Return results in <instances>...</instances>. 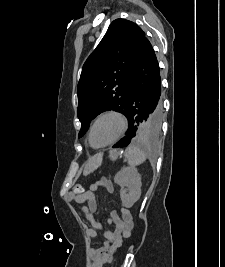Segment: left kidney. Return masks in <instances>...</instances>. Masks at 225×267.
I'll use <instances>...</instances> for the list:
<instances>
[{
	"mask_svg": "<svg viewBox=\"0 0 225 267\" xmlns=\"http://www.w3.org/2000/svg\"><path fill=\"white\" fill-rule=\"evenodd\" d=\"M114 182L121 187L120 198L122 206L131 208L141 196V176L136 168L121 169L114 178ZM127 190L129 191L127 193Z\"/></svg>",
	"mask_w": 225,
	"mask_h": 267,
	"instance_id": "left-kidney-1",
	"label": "left kidney"
}]
</instances>
